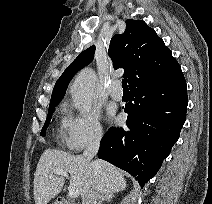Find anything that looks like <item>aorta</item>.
Instances as JSON below:
<instances>
[{"label": "aorta", "instance_id": "1", "mask_svg": "<svg viewBox=\"0 0 212 204\" xmlns=\"http://www.w3.org/2000/svg\"><path fill=\"white\" fill-rule=\"evenodd\" d=\"M96 81L94 70L85 68L77 75L71 86L74 107L83 113L89 112L92 107Z\"/></svg>", "mask_w": 212, "mask_h": 204}]
</instances>
